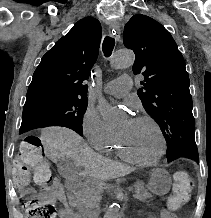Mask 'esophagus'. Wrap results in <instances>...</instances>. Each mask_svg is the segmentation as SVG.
<instances>
[{
    "label": "esophagus",
    "mask_w": 211,
    "mask_h": 218,
    "mask_svg": "<svg viewBox=\"0 0 211 218\" xmlns=\"http://www.w3.org/2000/svg\"><path fill=\"white\" fill-rule=\"evenodd\" d=\"M109 33L114 36V38L119 41L121 37V28L119 24H110Z\"/></svg>",
    "instance_id": "34e87169"
}]
</instances>
